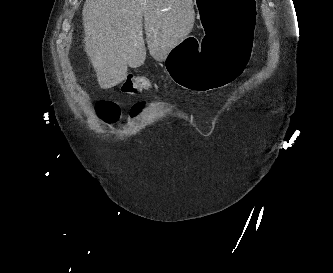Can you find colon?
<instances>
[{
	"label": "colon",
	"instance_id": "1",
	"mask_svg": "<svg viewBox=\"0 0 333 273\" xmlns=\"http://www.w3.org/2000/svg\"><path fill=\"white\" fill-rule=\"evenodd\" d=\"M154 89H156V85L152 81L134 75H129L122 84V91L125 93H137L141 90ZM97 112L103 121L112 123L116 121L119 116V107L116 103L111 101H100L97 103Z\"/></svg>",
	"mask_w": 333,
	"mask_h": 273
}]
</instances>
